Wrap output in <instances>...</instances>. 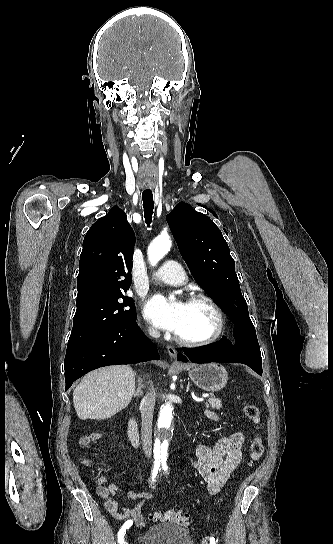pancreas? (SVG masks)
Here are the masks:
<instances>
[{
    "mask_svg": "<svg viewBox=\"0 0 333 544\" xmlns=\"http://www.w3.org/2000/svg\"><path fill=\"white\" fill-rule=\"evenodd\" d=\"M205 405H206L207 407L210 406L212 409H218V410L222 407L221 400L218 399V398H215V397H213V396H211V397L207 400V402L205 403Z\"/></svg>",
    "mask_w": 333,
    "mask_h": 544,
    "instance_id": "obj_1",
    "label": "pancreas"
}]
</instances>
